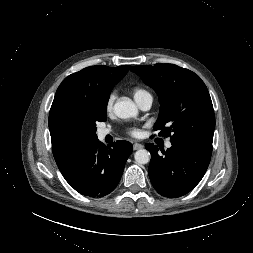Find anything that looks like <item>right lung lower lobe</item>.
I'll return each instance as SVG.
<instances>
[{
	"label": "right lung lower lobe",
	"instance_id": "obj_1",
	"mask_svg": "<svg viewBox=\"0 0 253 253\" xmlns=\"http://www.w3.org/2000/svg\"><path fill=\"white\" fill-rule=\"evenodd\" d=\"M132 150L128 141H116L105 147L95 138L57 165L77 192L89 197H103L118 185Z\"/></svg>",
	"mask_w": 253,
	"mask_h": 253
}]
</instances>
